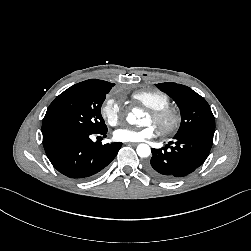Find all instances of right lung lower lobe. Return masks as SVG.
<instances>
[{
    "label": "right lung lower lobe",
    "mask_w": 251,
    "mask_h": 251,
    "mask_svg": "<svg viewBox=\"0 0 251 251\" xmlns=\"http://www.w3.org/2000/svg\"><path fill=\"white\" fill-rule=\"evenodd\" d=\"M107 128L98 133L51 130L43 133V146L52 165L63 175L85 180L104 169L117 155L122 143L102 145L92 134L106 137Z\"/></svg>",
    "instance_id": "1"
}]
</instances>
